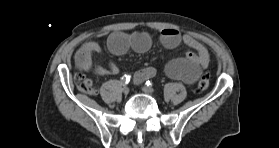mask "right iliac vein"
Wrapping results in <instances>:
<instances>
[{
	"mask_svg": "<svg viewBox=\"0 0 279 148\" xmlns=\"http://www.w3.org/2000/svg\"><path fill=\"white\" fill-rule=\"evenodd\" d=\"M129 88L128 87H124L123 89H122V92H123V94H125V95H127L128 93H129Z\"/></svg>",
	"mask_w": 279,
	"mask_h": 148,
	"instance_id": "obj_1",
	"label": "right iliac vein"
}]
</instances>
